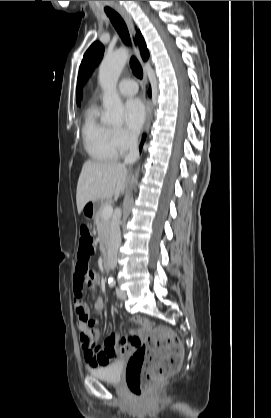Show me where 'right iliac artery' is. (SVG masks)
Here are the masks:
<instances>
[{"label":"right iliac artery","mask_w":271,"mask_h":418,"mask_svg":"<svg viewBox=\"0 0 271 418\" xmlns=\"http://www.w3.org/2000/svg\"><path fill=\"white\" fill-rule=\"evenodd\" d=\"M108 283H109V286H110L111 288L115 286V281H114V280H112V279H111V280L109 279Z\"/></svg>","instance_id":"82829eb1"}]
</instances>
